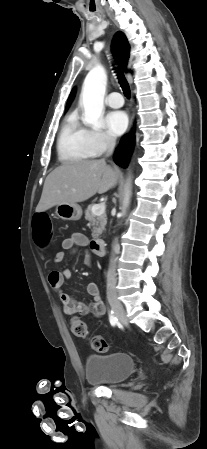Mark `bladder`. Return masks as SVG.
<instances>
[{
  "instance_id": "obj_1",
  "label": "bladder",
  "mask_w": 207,
  "mask_h": 449,
  "mask_svg": "<svg viewBox=\"0 0 207 449\" xmlns=\"http://www.w3.org/2000/svg\"><path fill=\"white\" fill-rule=\"evenodd\" d=\"M85 377L88 383L116 385L125 381L135 371L132 356L116 352L111 354H89L85 360Z\"/></svg>"
}]
</instances>
